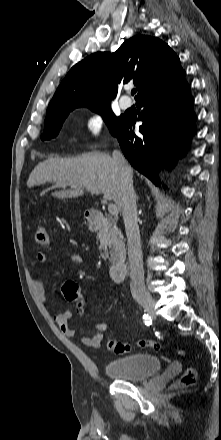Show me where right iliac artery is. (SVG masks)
I'll return each mask as SVG.
<instances>
[{
  "label": "right iliac artery",
  "mask_w": 221,
  "mask_h": 440,
  "mask_svg": "<svg viewBox=\"0 0 221 440\" xmlns=\"http://www.w3.org/2000/svg\"><path fill=\"white\" fill-rule=\"evenodd\" d=\"M143 320H144L146 325L151 323V318H150V316L148 314H144L143 315Z\"/></svg>",
  "instance_id": "82829eb1"
}]
</instances>
